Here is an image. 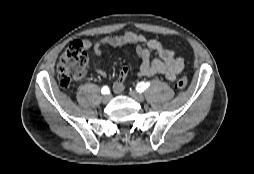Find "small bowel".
<instances>
[{
  "label": "small bowel",
  "instance_id": "c3829d8e",
  "mask_svg": "<svg viewBox=\"0 0 254 174\" xmlns=\"http://www.w3.org/2000/svg\"><path fill=\"white\" fill-rule=\"evenodd\" d=\"M86 49H91L93 55L99 58L102 55V50L108 46H125L135 45L136 54L141 59L138 74L141 77H152L156 74H162L169 81H175L184 69V59L177 57L175 52L166 48L160 41L156 39H148L144 35L128 31L121 35L107 36L101 38L94 43L89 40L83 41ZM157 55L152 58V54ZM99 76L105 78L106 72L101 68H96ZM129 73L127 66L121 69L119 78L113 84V90L116 93H121L124 90V81Z\"/></svg>",
  "mask_w": 254,
  "mask_h": 174
}]
</instances>
